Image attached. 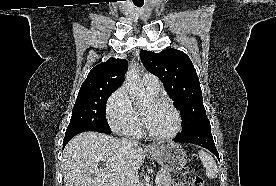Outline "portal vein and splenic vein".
I'll return each mask as SVG.
<instances>
[{"instance_id":"1","label":"portal vein and splenic vein","mask_w":276,"mask_h":186,"mask_svg":"<svg viewBox=\"0 0 276 186\" xmlns=\"http://www.w3.org/2000/svg\"><path fill=\"white\" fill-rule=\"evenodd\" d=\"M160 179H161V177H160L159 175H157V176H156V180H155L156 184L159 183Z\"/></svg>"}]
</instances>
